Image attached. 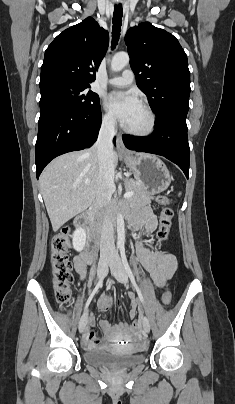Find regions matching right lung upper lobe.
<instances>
[{
	"mask_svg": "<svg viewBox=\"0 0 235 404\" xmlns=\"http://www.w3.org/2000/svg\"><path fill=\"white\" fill-rule=\"evenodd\" d=\"M108 44V32L91 17L64 30L45 51L40 85L67 82L90 87Z\"/></svg>",
	"mask_w": 235,
	"mask_h": 404,
	"instance_id": "obj_1",
	"label": "right lung upper lobe"
}]
</instances>
